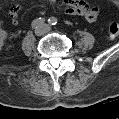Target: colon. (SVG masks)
<instances>
[{
	"instance_id": "colon-1",
	"label": "colon",
	"mask_w": 119,
	"mask_h": 119,
	"mask_svg": "<svg viewBox=\"0 0 119 119\" xmlns=\"http://www.w3.org/2000/svg\"><path fill=\"white\" fill-rule=\"evenodd\" d=\"M119 35V26L116 23H112L110 24L109 28H108V37L110 39H115L117 38Z\"/></svg>"
}]
</instances>
